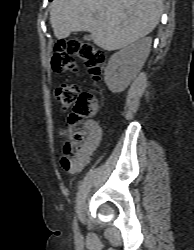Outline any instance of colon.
<instances>
[{"mask_svg": "<svg viewBox=\"0 0 194 250\" xmlns=\"http://www.w3.org/2000/svg\"><path fill=\"white\" fill-rule=\"evenodd\" d=\"M77 60L82 61L90 75L99 79L106 62L104 52L94 44L78 38H70L57 43L54 47L51 68L55 73L77 71ZM55 97L63 110H71L68 118L70 125L89 118L97 108L95 96L92 92H80L74 83H61L55 90ZM85 136L83 130L73 131L71 139L62 148V166L67 167L78 160L81 152V141Z\"/></svg>", "mask_w": 194, "mask_h": 250, "instance_id": "obj_1", "label": "colon"}]
</instances>
